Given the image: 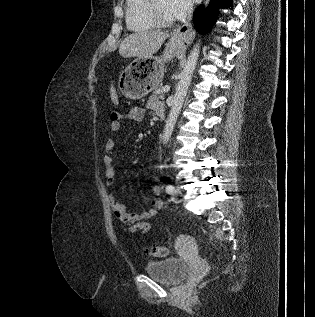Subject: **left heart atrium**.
<instances>
[{
	"label": "left heart atrium",
	"instance_id": "1",
	"mask_svg": "<svg viewBox=\"0 0 315 317\" xmlns=\"http://www.w3.org/2000/svg\"><path fill=\"white\" fill-rule=\"evenodd\" d=\"M167 7L173 18L186 17L192 8V0H167Z\"/></svg>",
	"mask_w": 315,
	"mask_h": 317
}]
</instances>
